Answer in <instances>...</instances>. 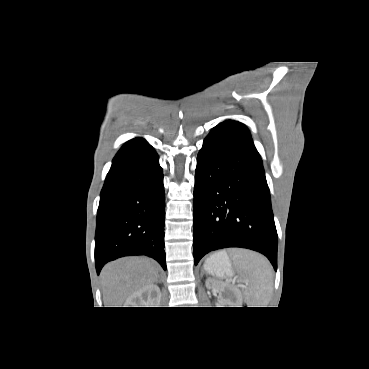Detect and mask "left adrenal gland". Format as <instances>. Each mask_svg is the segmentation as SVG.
<instances>
[{"label": "left adrenal gland", "mask_w": 369, "mask_h": 369, "mask_svg": "<svg viewBox=\"0 0 369 369\" xmlns=\"http://www.w3.org/2000/svg\"><path fill=\"white\" fill-rule=\"evenodd\" d=\"M204 274V271L202 270V272H201V276Z\"/></svg>", "instance_id": "obj_1"}]
</instances>
